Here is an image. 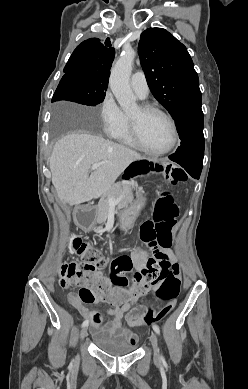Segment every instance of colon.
Masks as SVG:
<instances>
[{"label": "colon", "instance_id": "5ec220e1", "mask_svg": "<svg viewBox=\"0 0 248 389\" xmlns=\"http://www.w3.org/2000/svg\"><path fill=\"white\" fill-rule=\"evenodd\" d=\"M173 162H152L147 157L135 161L126 172V180L136 177L137 172H166L173 167ZM170 181L173 185L186 180L183 170L173 168L169 171ZM178 216V207L169 191H163L157 200L152 218L145 220L139 227L138 235L142 242L154 250L153 257L149 258L145 266L134 272L130 279L124 274L133 272L131 257L119 256L110 264L112 285L107 284L108 277L104 273L105 261L99 251L89 246L81 238L72 241L73 252L81 257V262H66L61 266L60 284L62 287L80 286L79 297L90 304L96 299H103L112 304H121L130 298L139 295L154 294L163 305L156 309L152 302L144 305L142 322L146 326L162 321L174 308L176 299L181 290V274L178 264L171 263L167 255L159 248H168L172 244L173 228ZM131 293L122 292L117 287H124ZM93 323L99 325L101 316L94 313Z\"/></svg>", "mask_w": 248, "mask_h": 389}]
</instances>
